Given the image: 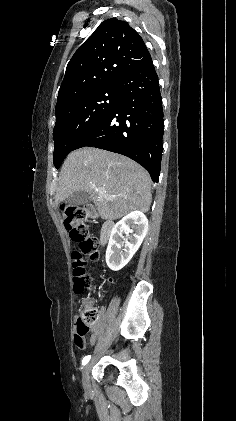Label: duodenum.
I'll return each instance as SVG.
<instances>
[{
  "label": "duodenum",
  "instance_id": "1",
  "mask_svg": "<svg viewBox=\"0 0 236 421\" xmlns=\"http://www.w3.org/2000/svg\"><path fill=\"white\" fill-rule=\"evenodd\" d=\"M88 214L91 217H94L95 211L93 208H89L88 209ZM113 228H114V222L112 220H106L102 223L101 225V229H100V243L102 245L106 244L107 241L109 240L112 232H113ZM101 331V329L96 333V335L93 338V341L96 340L98 333Z\"/></svg>",
  "mask_w": 236,
  "mask_h": 421
}]
</instances>
